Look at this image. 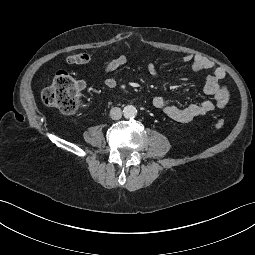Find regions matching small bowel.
<instances>
[{
  "mask_svg": "<svg viewBox=\"0 0 255 255\" xmlns=\"http://www.w3.org/2000/svg\"><path fill=\"white\" fill-rule=\"evenodd\" d=\"M90 60L91 56L88 53H78L66 58V62L70 65L87 64ZM183 61L189 64L194 70H204L209 72L204 92L205 94L212 96L213 101L202 100L184 108H180L170 105L163 96H155L152 100L153 106L162 111L169 119L177 122H189L217 108H224L229 100L228 88L220 84V80L226 76L225 69L221 66H216L208 59L196 54H186L183 57ZM127 62L128 56L126 54H121L105 64L104 72H113ZM147 72L151 76H156L158 74V67L154 62H149L147 64ZM122 81V77H105L103 79V84L107 88H115Z\"/></svg>",
  "mask_w": 255,
  "mask_h": 255,
  "instance_id": "obj_1",
  "label": "small bowel"
}]
</instances>
